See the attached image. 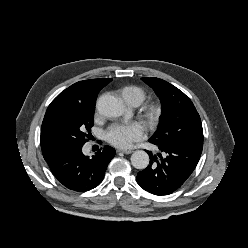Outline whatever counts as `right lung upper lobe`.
I'll return each mask as SVG.
<instances>
[{
  "label": "right lung upper lobe",
  "mask_w": 248,
  "mask_h": 248,
  "mask_svg": "<svg viewBox=\"0 0 248 248\" xmlns=\"http://www.w3.org/2000/svg\"><path fill=\"white\" fill-rule=\"evenodd\" d=\"M112 79H91L79 81L62 91L49 105L41 127V149L47 161L57 154L62 148L54 145L46 136L44 122L57 108L63 105H89L94 106L99 91Z\"/></svg>",
  "instance_id": "right-lung-upper-lobe-1"
}]
</instances>
